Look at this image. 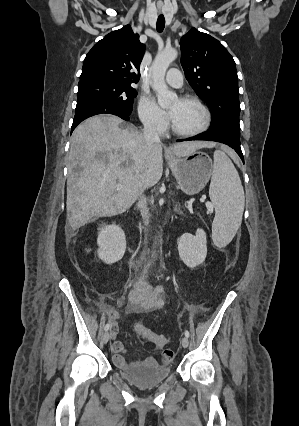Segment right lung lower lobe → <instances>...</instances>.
Here are the masks:
<instances>
[{
    "label": "right lung lower lobe",
    "instance_id": "right-lung-lower-lobe-1",
    "mask_svg": "<svg viewBox=\"0 0 299 426\" xmlns=\"http://www.w3.org/2000/svg\"><path fill=\"white\" fill-rule=\"evenodd\" d=\"M97 114H113L128 121L131 112L125 111L118 106L107 101L98 99H85L77 102L76 113L73 120L71 132L76 126L88 117Z\"/></svg>",
    "mask_w": 299,
    "mask_h": 426
}]
</instances>
